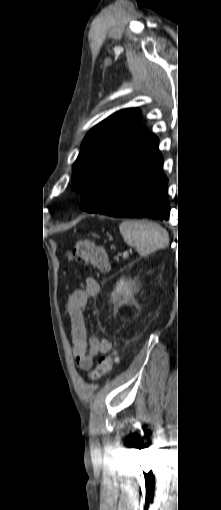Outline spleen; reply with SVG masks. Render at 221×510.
Instances as JSON below:
<instances>
[{
    "instance_id": "obj_1",
    "label": "spleen",
    "mask_w": 221,
    "mask_h": 510,
    "mask_svg": "<svg viewBox=\"0 0 221 510\" xmlns=\"http://www.w3.org/2000/svg\"><path fill=\"white\" fill-rule=\"evenodd\" d=\"M127 245L135 247L141 256L168 246V233L161 226L145 220H125L119 225Z\"/></svg>"
}]
</instances>
